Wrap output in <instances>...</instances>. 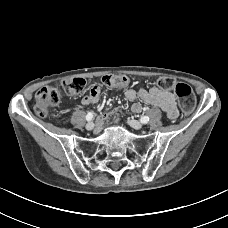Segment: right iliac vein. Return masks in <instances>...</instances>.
<instances>
[{"mask_svg":"<svg viewBox=\"0 0 228 228\" xmlns=\"http://www.w3.org/2000/svg\"><path fill=\"white\" fill-rule=\"evenodd\" d=\"M85 127H86L87 130H92L94 128V123L93 122H88Z\"/></svg>","mask_w":228,"mask_h":228,"instance_id":"1","label":"right iliac vein"}]
</instances>
